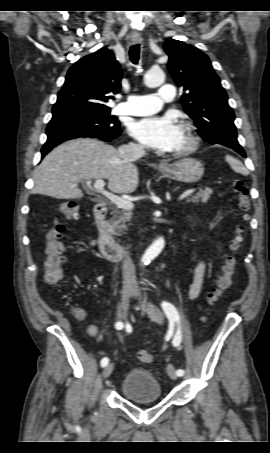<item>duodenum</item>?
Segmentation results:
<instances>
[{"label":"duodenum","mask_w":270,"mask_h":453,"mask_svg":"<svg viewBox=\"0 0 270 453\" xmlns=\"http://www.w3.org/2000/svg\"><path fill=\"white\" fill-rule=\"evenodd\" d=\"M108 206L98 203L94 208V222L99 235V248L103 256L110 261H120L126 254L125 248L112 236L106 221Z\"/></svg>","instance_id":"410a0bca"}]
</instances>
